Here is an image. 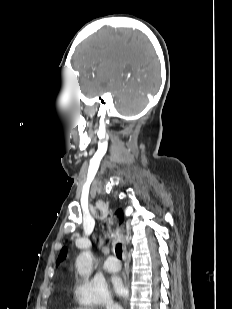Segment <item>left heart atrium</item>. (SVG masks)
Segmentation results:
<instances>
[{
	"label": "left heart atrium",
	"instance_id": "obj_1",
	"mask_svg": "<svg viewBox=\"0 0 232 309\" xmlns=\"http://www.w3.org/2000/svg\"><path fill=\"white\" fill-rule=\"evenodd\" d=\"M112 286L115 291V293L119 296H125L126 295V287L119 277H114L112 279Z\"/></svg>",
	"mask_w": 232,
	"mask_h": 309
}]
</instances>
